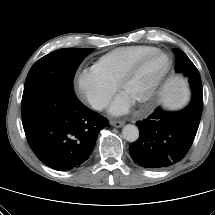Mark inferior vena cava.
Returning <instances> with one entry per match:
<instances>
[{
    "mask_svg": "<svg viewBox=\"0 0 215 215\" xmlns=\"http://www.w3.org/2000/svg\"><path fill=\"white\" fill-rule=\"evenodd\" d=\"M108 105V101H99L98 104H97V108L98 109H103L105 108L106 106Z\"/></svg>",
    "mask_w": 215,
    "mask_h": 215,
    "instance_id": "obj_1",
    "label": "inferior vena cava"
}]
</instances>
